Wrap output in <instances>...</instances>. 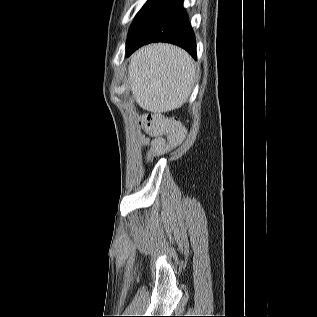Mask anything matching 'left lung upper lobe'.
<instances>
[{
  "label": "left lung upper lobe",
  "mask_w": 317,
  "mask_h": 317,
  "mask_svg": "<svg viewBox=\"0 0 317 317\" xmlns=\"http://www.w3.org/2000/svg\"><path fill=\"white\" fill-rule=\"evenodd\" d=\"M168 0H148L137 14L129 31V42L145 25V23L167 2Z\"/></svg>",
  "instance_id": "1"
}]
</instances>
